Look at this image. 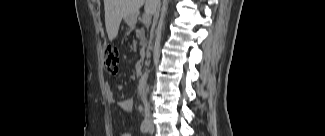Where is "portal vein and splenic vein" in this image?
Here are the masks:
<instances>
[{
  "label": "portal vein and splenic vein",
  "mask_w": 325,
  "mask_h": 136,
  "mask_svg": "<svg viewBox=\"0 0 325 136\" xmlns=\"http://www.w3.org/2000/svg\"><path fill=\"white\" fill-rule=\"evenodd\" d=\"M151 21V16H150V13H145L142 17V22L144 24H149Z\"/></svg>",
  "instance_id": "portal-vein-and-splenic-vein-1"
}]
</instances>
